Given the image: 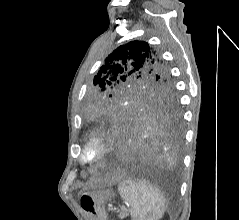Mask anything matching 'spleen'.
Returning <instances> with one entry per match:
<instances>
[{"mask_svg": "<svg viewBox=\"0 0 239 220\" xmlns=\"http://www.w3.org/2000/svg\"><path fill=\"white\" fill-rule=\"evenodd\" d=\"M118 191L128 203L132 220H160L166 210L161 192L146 181L123 180Z\"/></svg>", "mask_w": 239, "mask_h": 220, "instance_id": "obj_1", "label": "spleen"}]
</instances>
